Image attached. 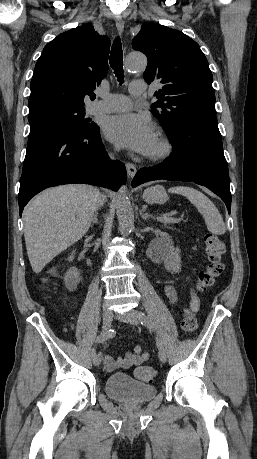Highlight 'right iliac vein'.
Wrapping results in <instances>:
<instances>
[{
	"mask_svg": "<svg viewBox=\"0 0 257 459\" xmlns=\"http://www.w3.org/2000/svg\"><path fill=\"white\" fill-rule=\"evenodd\" d=\"M102 320H103V329L108 330L113 321V313L109 309H104L102 313ZM102 361L101 355L93 356V364L95 366H99Z\"/></svg>",
	"mask_w": 257,
	"mask_h": 459,
	"instance_id": "obj_1",
	"label": "right iliac vein"
}]
</instances>
